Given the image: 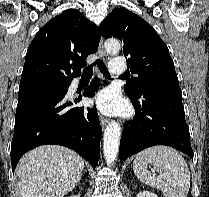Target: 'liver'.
Returning a JSON list of instances; mask_svg holds the SVG:
<instances>
[{"label": "liver", "instance_id": "liver-1", "mask_svg": "<svg viewBox=\"0 0 209 197\" xmlns=\"http://www.w3.org/2000/svg\"><path fill=\"white\" fill-rule=\"evenodd\" d=\"M84 159L57 145L27 152L17 166L19 197H64L81 179Z\"/></svg>", "mask_w": 209, "mask_h": 197}]
</instances>
